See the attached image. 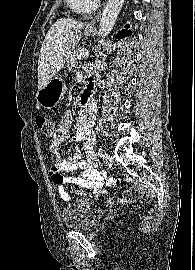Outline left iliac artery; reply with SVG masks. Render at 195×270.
I'll return each mask as SVG.
<instances>
[{
  "instance_id": "1",
  "label": "left iliac artery",
  "mask_w": 195,
  "mask_h": 270,
  "mask_svg": "<svg viewBox=\"0 0 195 270\" xmlns=\"http://www.w3.org/2000/svg\"><path fill=\"white\" fill-rule=\"evenodd\" d=\"M98 154H99L100 157H103V151H102V149H99L98 150Z\"/></svg>"
}]
</instances>
